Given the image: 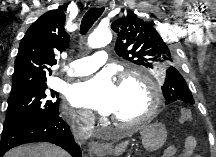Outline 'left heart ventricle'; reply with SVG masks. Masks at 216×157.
I'll list each match as a JSON object with an SVG mask.
<instances>
[{
    "mask_svg": "<svg viewBox=\"0 0 216 157\" xmlns=\"http://www.w3.org/2000/svg\"><path fill=\"white\" fill-rule=\"evenodd\" d=\"M117 99V106L112 117L122 121L140 118L149 106V92L145 85L136 80L126 81L118 86Z\"/></svg>",
    "mask_w": 216,
    "mask_h": 157,
    "instance_id": "obj_1",
    "label": "left heart ventricle"
}]
</instances>
